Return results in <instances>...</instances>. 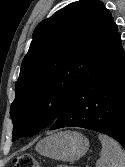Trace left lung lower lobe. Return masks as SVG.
Listing matches in <instances>:
<instances>
[{
	"instance_id": "1",
	"label": "left lung lower lobe",
	"mask_w": 125,
	"mask_h": 167,
	"mask_svg": "<svg viewBox=\"0 0 125 167\" xmlns=\"http://www.w3.org/2000/svg\"><path fill=\"white\" fill-rule=\"evenodd\" d=\"M81 127L104 133L125 147V53L113 22L89 72L50 130Z\"/></svg>"
}]
</instances>
